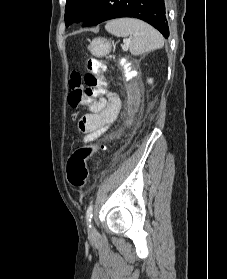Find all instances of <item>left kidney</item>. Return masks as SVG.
<instances>
[{
    "instance_id": "obj_1",
    "label": "left kidney",
    "mask_w": 227,
    "mask_h": 279,
    "mask_svg": "<svg viewBox=\"0 0 227 279\" xmlns=\"http://www.w3.org/2000/svg\"><path fill=\"white\" fill-rule=\"evenodd\" d=\"M148 83L152 84V83H153V80H152V79H149V80H148Z\"/></svg>"
}]
</instances>
